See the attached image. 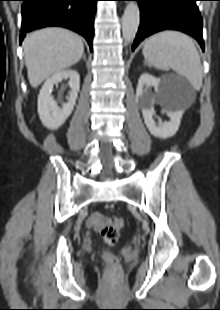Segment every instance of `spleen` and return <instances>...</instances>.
I'll use <instances>...</instances> for the list:
<instances>
[{
  "label": "spleen",
  "mask_w": 220,
  "mask_h": 310,
  "mask_svg": "<svg viewBox=\"0 0 220 310\" xmlns=\"http://www.w3.org/2000/svg\"><path fill=\"white\" fill-rule=\"evenodd\" d=\"M146 62L157 69L174 70L199 90L202 70L199 53L192 39L178 31H162L147 39L143 48Z\"/></svg>",
  "instance_id": "1"
}]
</instances>
